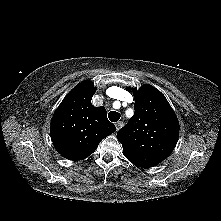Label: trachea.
I'll return each instance as SVG.
<instances>
[{
  "label": "trachea",
  "mask_w": 221,
  "mask_h": 221,
  "mask_svg": "<svg viewBox=\"0 0 221 221\" xmlns=\"http://www.w3.org/2000/svg\"><path fill=\"white\" fill-rule=\"evenodd\" d=\"M120 117H121L120 113L116 111H111L108 114V118L111 122H117L120 119Z\"/></svg>",
  "instance_id": "3493384b"
}]
</instances>
